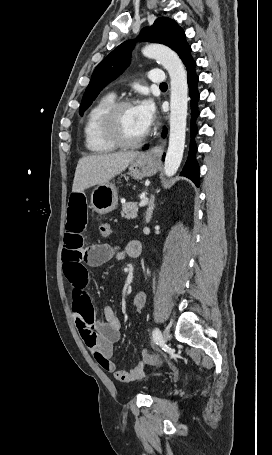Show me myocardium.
Masks as SVG:
<instances>
[{
  "label": "myocardium",
  "instance_id": "myocardium-1",
  "mask_svg": "<svg viewBox=\"0 0 272 455\" xmlns=\"http://www.w3.org/2000/svg\"><path fill=\"white\" fill-rule=\"evenodd\" d=\"M134 106L128 99L114 101L104 112L101 118V131L105 139L117 148H136L147 138V133L136 140H126L119 129V117L123 109Z\"/></svg>",
  "mask_w": 272,
  "mask_h": 455
}]
</instances>
